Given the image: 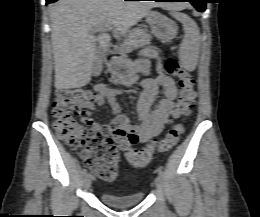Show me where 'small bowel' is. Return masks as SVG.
<instances>
[{"label": "small bowel", "mask_w": 260, "mask_h": 217, "mask_svg": "<svg viewBox=\"0 0 260 217\" xmlns=\"http://www.w3.org/2000/svg\"><path fill=\"white\" fill-rule=\"evenodd\" d=\"M143 54L158 59V53L153 49H146ZM157 71L156 79H146L140 84V95L136 104L137 123L131 122L129 116L123 112L122 105L116 101V95L120 94L121 90L104 83L96 85L94 91L100 98L99 103L108 102L114 115L113 119L107 124L94 122L90 113L91 110H96L94 105H86L79 109L77 112L80 118L83 122L104 130L115 140L127 137L130 144L145 143L157 137L169 122L178 93L174 79L163 72L160 60ZM138 79L139 75L135 73L127 79L112 77L111 82L129 86ZM160 88L163 95L155 102Z\"/></svg>", "instance_id": "c3829d8e"}]
</instances>
